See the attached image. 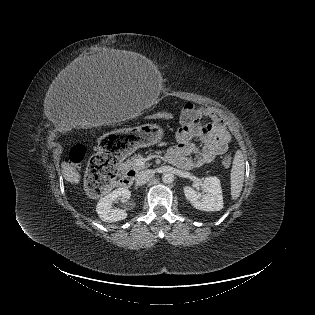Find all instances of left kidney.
Listing matches in <instances>:
<instances>
[{"label": "left kidney", "instance_id": "1", "mask_svg": "<svg viewBox=\"0 0 315 315\" xmlns=\"http://www.w3.org/2000/svg\"><path fill=\"white\" fill-rule=\"evenodd\" d=\"M203 186L206 194H201L189 186L184 187L186 199L198 210L220 211L224 204L220 180L217 177H206Z\"/></svg>", "mask_w": 315, "mask_h": 315}]
</instances>
